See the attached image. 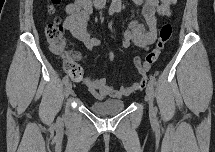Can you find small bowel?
<instances>
[{
	"label": "small bowel",
	"instance_id": "obj_1",
	"mask_svg": "<svg viewBox=\"0 0 215 152\" xmlns=\"http://www.w3.org/2000/svg\"><path fill=\"white\" fill-rule=\"evenodd\" d=\"M135 3L142 5V14L145 18L146 25L132 20L129 24V28L123 32L122 47L127 49L131 45H135L147 49L157 38L156 10L159 2L158 0H135ZM91 12L92 3L90 0L73 1L66 7L64 28L75 38L80 40L86 49L93 51L101 45V41L90 35L86 29ZM113 58V54L109 53L108 60L112 61ZM134 62H140V58L135 56ZM75 80L83 82L90 92L100 100L106 97L120 98L127 96L140 90L146 83L145 78H143L132 85L114 88L110 86L105 79L95 78L91 74H82L81 77Z\"/></svg>",
	"mask_w": 215,
	"mask_h": 152
}]
</instances>
